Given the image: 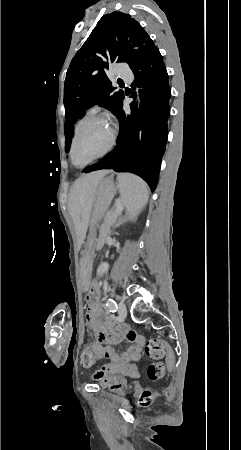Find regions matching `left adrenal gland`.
<instances>
[{
  "label": "left adrenal gland",
  "instance_id": "1",
  "mask_svg": "<svg viewBox=\"0 0 241 450\" xmlns=\"http://www.w3.org/2000/svg\"><path fill=\"white\" fill-rule=\"evenodd\" d=\"M123 222H127V220H123V218H119V220H117V224H115V226H120V224H123Z\"/></svg>",
  "mask_w": 241,
  "mask_h": 450
}]
</instances>
